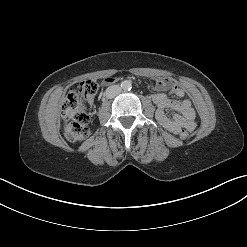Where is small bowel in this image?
<instances>
[{
	"mask_svg": "<svg viewBox=\"0 0 247 247\" xmlns=\"http://www.w3.org/2000/svg\"><path fill=\"white\" fill-rule=\"evenodd\" d=\"M115 82L112 77L103 80L104 86H109ZM152 88L158 93L152 96V101L157 106L156 119L169 132L178 134L182 128L192 132L196 128L195 111L191 102L185 99V91L178 84L168 78H159L152 85ZM170 91L179 100L169 99L166 92ZM94 102L93 98H88L87 104L91 106ZM167 109L176 111L173 118H169L166 114Z\"/></svg>",
	"mask_w": 247,
	"mask_h": 247,
	"instance_id": "small-bowel-1",
	"label": "small bowel"
}]
</instances>
